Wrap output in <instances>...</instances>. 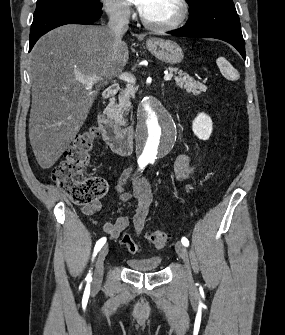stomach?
I'll list each match as a JSON object with an SVG mask.
<instances>
[{"label":"stomach","mask_w":285,"mask_h":335,"mask_svg":"<svg viewBox=\"0 0 285 335\" xmlns=\"http://www.w3.org/2000/svg\"><path fill=\"white\" fill-rule=\"evenodd\" d=\"M146 48L152 56L165 62V64H180L183 60L182 48L172 40H161V38H150L146 42Z\"/></svg>","instance_id":"stomach-1"}]
</instances>
